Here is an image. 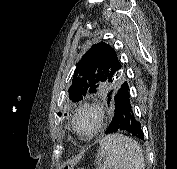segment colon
Wrapping results in <instances>:
<instances>
[{
  "mask_svg": "<svg viewBox=\"0 0 177 169\" xmlns=\"http://www.w3.org/2000/svg\"><path fill=\"white\" fill-rule=\"evenodd\" d=\"M63 169H83V168H71V167H64Z\"/></svg>",
  "mask_w": 177,
  "mask_h": 169,
  "instance_id": "5ec220e1",
  "label": "colon"
}]
</instances>
